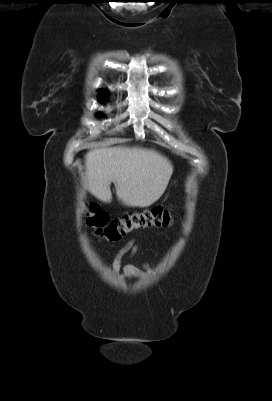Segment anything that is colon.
<instances>
[{
    "label": "colon",
    "instance_id": "colon-1",
    "mask_svg": "<svg viewBox=\"0 0 272 401\" xmlns=\"http://www.w3.org/2000/svg\"><path fill=\"white\" fill-rule=\"evenodd\" d=\"M88 209V225L97 237L108 241L120 240L127 234L140 229L169 227L174 221L172 213L161 207L126 213L118 218H111L94 203H91Z\"/></svg>",
    "mask_w": 272,
    "mask_h": 401
}]
</instances>
